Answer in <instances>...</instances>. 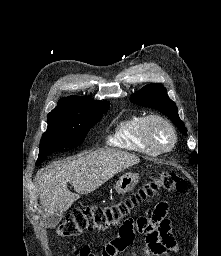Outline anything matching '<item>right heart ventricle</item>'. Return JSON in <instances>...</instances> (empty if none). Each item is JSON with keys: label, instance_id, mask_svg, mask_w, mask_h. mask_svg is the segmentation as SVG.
<instances>
[{"label": "right heart ventricle", "instance_id": "1", "mask_svg": "<svg viewBox=\"0 0 221 256\" xmlns=\"http://www.w3.org/2000/svg\"><path fill=\"white\" fill-rule=\"evenodd\" d=\"M144 118L143 115H130L121 119L108 137V143L118 148L155 155L156 152L144 141L142 136Z\"/></svg>", "mask_w": 221, "mask_h": 256}]
</instances>
